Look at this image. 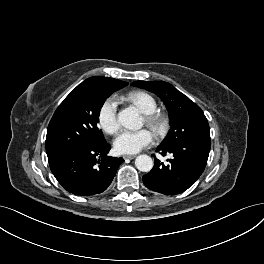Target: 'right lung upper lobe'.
<instances>
[{"mask_svg": "<svg viewBox=\"0 0 264 264\" xmlns=\"http://www.w3.org/2000/svg\"><path fill=\"white\" fill-rule=\"evenodd\" d=\"M88 82L106 83V84H112V85L123 86V87L128 85L127 82H124L121 80H116V79L108 78V77H98V76L90 77L84 81V83H88Z\"/></svg>", "mask_w": 264, "mask_h": 264, "instance_id": "1", "label": "right lung upper lobe"}]
</instances>
